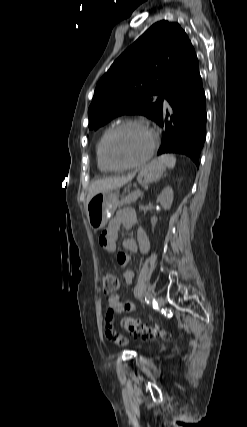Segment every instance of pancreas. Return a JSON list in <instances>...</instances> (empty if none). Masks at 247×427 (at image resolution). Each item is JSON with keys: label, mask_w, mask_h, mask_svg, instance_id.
I'll return each instance as SVG.
<instances>
[{"label": "pancreas", "mask_w": 247, "mask_h": 427, "mask_svg": "<svg viewBox=\"0 0 247 427\" xmlns=\"http://www.w3.org/2000/svg\"><path fill=\"white\" fill-rule=\"evenodd\" d=\"M141 195L142 194H139V191H134L128 194L126 197L122 198L119 203V206L135 203Z\"/></svg>", "instance_id": "cf45deb5"}]
</instances>
